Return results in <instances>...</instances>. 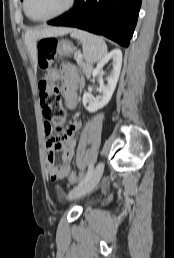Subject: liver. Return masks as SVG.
I'll return each instance as SVG.
<instances>
[{
  "mask_svg": "<svg viewBox=\"0 0 174 258\" xmlns=\"http://www.w3.org/2000/svg\"><path fill=\"white\" fill-rule=\"evenodd\" d=\"M68 28L46 27L43 29L30 30L25 33V44L31 54L33 61L37 60V45L36 42L40 38L53 37L58 35H64L68 33Z\"/></svg>",
  "mask_w": 174,
  "mask_h": 258,
  "instance_id": "obj_1",
  "label": "liver"
}]
</instances>
